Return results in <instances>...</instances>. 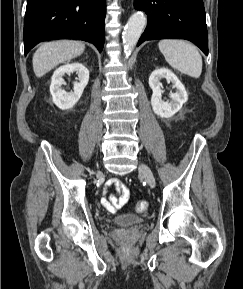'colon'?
I'll return each mask as SVG.
<instances>
[{"mask_svg": "<svg viewBox=\"0 0 243 289\" xmlns=\"http://www.w3.org/2000/svg\"><path fill=\"white\" fill-rule=\"evenodd\" d=\"M147 208L148 204L146 201L143 200L136 202L134 205V209L137 213H143L147 210Z\"/></svg>", "mask_w": 243, "mask_h": 289, "instance_id": "obj_1", "label": "colon"}]
</instances>
